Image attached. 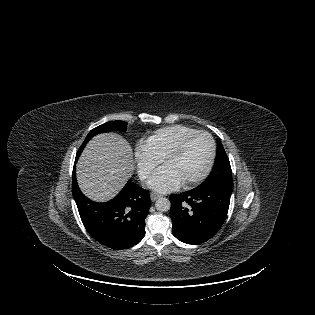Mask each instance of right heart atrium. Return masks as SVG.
Segmentation results:
<instances>
[{
  "mask_svg": "<svg viewBox=\"0 0 315 315\" xmlns=\"http://www.w3.org/2000/svg\"><path fill=\"white\" fill-rule=\"evenodd\" d=\"M134 156L138 174L142 179L148 178L156 166L161 162V159L154 154L146 142L137 144Z\"/></svg>",
  "mask_w": 315,
  "mask_h": 315,
  "instance_id": "obj_1",
  "label": "right heart atrium"
}]
</instances>
